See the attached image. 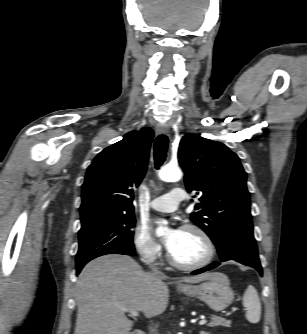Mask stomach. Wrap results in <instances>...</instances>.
Masks as SVG:
<instances>
[{"instance_id": "stomach-1", "label": "stomach", "mask_w": 307, "mask_h": 334, "mask_svg": "<svg viewBox=\"0 0 307 334\" xmlns=\"http://www.w3.org/2000/svg\"><path fill=\"white\" fill-rule=\"evenodd\" d=\"M181 291L189 296L196 297L205 302L212 310L222 311L234 299V292L230 281L223 273L215 272L212 277L199 285H187Z\"/></svg>"}]
</instances>
